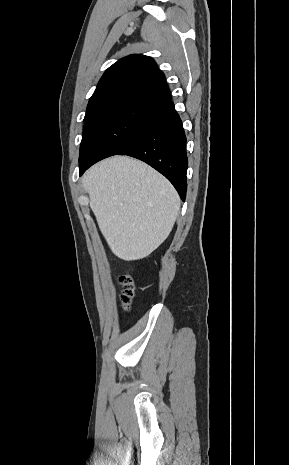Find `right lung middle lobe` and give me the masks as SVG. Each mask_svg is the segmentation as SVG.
I'll list each match as a JSON object with an SVG mask.
<instances>
[{"mask_svg": "<svg viewBox=\"0 0 289 465\" xmlns=\"http://www.w3.org/2000/svg\"><path fill=\"white\" fill-rule=\"evenodd\" d=\"M163 105L123 102L85 118L79 163L117 154L151 124Z\"/></svg>", "mask_w": 289, "mask_h": 465, "instance_id": "1", "label": "right lung middle lobe"}]
</instances>
